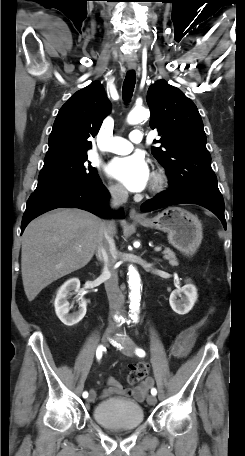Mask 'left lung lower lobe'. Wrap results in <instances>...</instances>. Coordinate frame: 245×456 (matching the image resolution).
I'll list each match as a JSON object with an SVG mask.
<instances>
[{
  "label": "left lung lower lobe",
  "mask_w": 245,
  "mask_h": 456,
  "mask_svg": "<svg viewBox=\"0 0 245 456\" xmlns=\"http://www.w3.org/2000/svg\"><path fill=\"white\" fill-rule=\"evenodd\" d=\"M184 203L198 204L209 209L221 220L224 228H226L223 197L220 192L211 190H186L170 187L169 190L163 191L153 199L146 201L141 206V210L144 212H149L166 206Z\"/></svg>",
  "instance_id": "obj_1"
}]
</instances>
